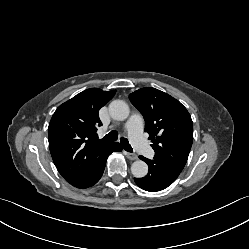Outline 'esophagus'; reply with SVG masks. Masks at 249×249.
Returning a JSON list of instances; mask_svg holds the SVG:
<instances>
[{"label": "esophagus", "instance_id": "1", "mask_svg": "<svg viewBox=\"0 0 249 249\" xmlns=\"http://www.w3.org/2000/svg\"><path fill=\"white\" fill-rule=\"evenodd\" d=\"M124 154L127 156L128 159L130 160H136L138 159V156L134 153H130V152H124Z\"/></svg>", "mask_w": 249, "mask_h": 249}]
</instances>
